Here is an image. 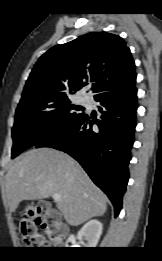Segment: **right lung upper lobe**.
Wrapping results in <instances>:
<instances>
[{"instance_id":"cb5924a9","label":"right lung upper lobe","mask_w":162,"mask_h":261,"mask_svg":"<svg viewBox=\"0 0 162 261\" xmlns=\"http://www.w3.org/2000/svg\"><path fill=\"white\" fill-rule=\"evenodd\" d=\"M90 82H95L94 98L135 84V64L120 36L91 32L52 47L35 64L21 101L35 96H69Z\"/></svg>"}]
</instances>
